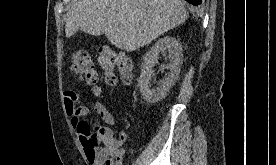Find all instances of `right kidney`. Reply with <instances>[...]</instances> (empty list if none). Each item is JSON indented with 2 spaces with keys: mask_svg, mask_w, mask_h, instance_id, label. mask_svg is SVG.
Instances as JSON below:
<instances>
[{
  "mask_svg": "<svg viewBox=\"0 0 276 165\" xmlns=\"http://www.w3.org/2000/svg\"><path fill=\"white\" fill-rule=\"evenodd\" d=\"M167 51L171 56L170 62L161 66L169 72L165 78L159 81L158 87L151 89L150 80L154 76L153 67L158 63V54ZM182 46L179 41L171 36L159 39L154 46L142 58V73L138 79V86L143 99L148 103H157L163 100L179 78L182 65Z\"/></svg>",
  "mask_w": 276,
  "mask_h": 165,
  "instance_id": "right-kidney-1",
  "label": "right kidney"
}]
</instances>
